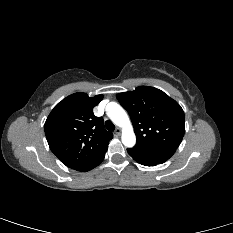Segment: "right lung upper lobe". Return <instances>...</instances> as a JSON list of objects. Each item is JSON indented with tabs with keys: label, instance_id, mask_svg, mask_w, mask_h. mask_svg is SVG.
Here are the masks:
<instances>
[{
	"label": "right lung upper lobe",
	"instance_id": "obj_1",
	"mask_svg": "<svg viewBox=\"0 0 233 233\" xmlns=\"http://www.w3.org/2000/svg\"><path fill=\"white\" fill-rule=\"evenodd\" d=\"M102 99L103 95H69L53 108L45 122L51 151L69 168L84 172L106 152L113 138L104 129L103 118L93 113Z\"/></svg>",
	"mask_w": 233,
	"mask_h": 233
}]
</instances>
